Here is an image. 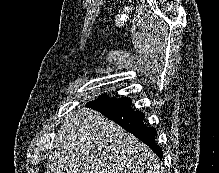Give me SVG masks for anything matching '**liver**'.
I'll return each mask as SVG.
<instances>
[{"label": "liver", "mask_w": 219, "mask_h": 173, "mask_svg": "<svg viewBox=\"0 0 219 173\" xmlns=\"http://www.w3.org/2000/svg\"><path fill=\"white\" fill-rule=\"evenodd\" d=\"M46 168L45 173H161L144 143L86 107L65 117Z\"/></svg>", "instance_id": "6515ba94"}]
</instances>
